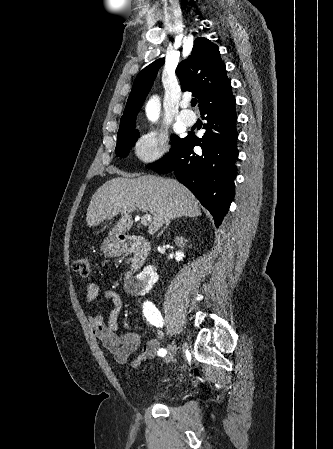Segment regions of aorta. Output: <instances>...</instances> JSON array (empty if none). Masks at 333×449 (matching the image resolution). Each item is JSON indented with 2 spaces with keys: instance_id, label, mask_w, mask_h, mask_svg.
Wrapping results in <instances>:
<instances>
[{
  "instance_id": "obj_1",
  "label": "aorta",
  "mask_w": 333,
  "mask_h": 449,
  "mask_svg": "<svg viewBox=\"0 0 333 449\" xmlns=\"http://www.w3.org/2000/svg\"><path fill=\"white\" fill-rule=\"evenodd\" d=\"M159 106L156 100L149 102L147 106V115L151 121H156L158 119Z\"/></svg>"
}]
</instances>
